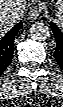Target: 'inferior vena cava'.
I'll return each instance as SVG.
<instances>
[{"label": "inferior vena cava", "mask_w": 63, "mask_h": 107, "mask_svg": "<svg viewBox=\"0 0 63 107\" xmlns=\"http://www.w3.org/2000/svg\"><path fill=\"white\" fill-rule=\"evenodd\" d=\"M23 16V12L19 9H15L9 17V20L12 24L18 22Z\"/></svg>", "instance_id": "inferior-vena-cava-1"}]
</instances>
